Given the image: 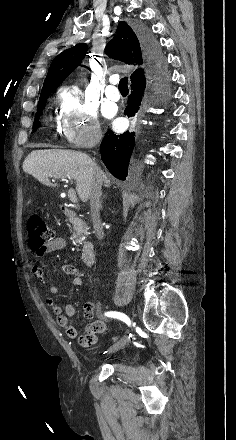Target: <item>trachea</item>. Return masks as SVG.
I'll use <instances>...</instances> for the list:
<instances>
[{
  "mask_svg": "<svg viewBox=\"0 0 236 440\" xmlns=\"http://www.w3.org/2000/svg\"><path fill=\"white\" fill-rule=\"evenodd\" d=\"M120 91H128V77H124L119 82Z\"/></svg>",
  "mask_w": 236,
  "mask_h": 440,
  "instance_id": "obj_1",
  "label": "trachea"
}]
</instances>
